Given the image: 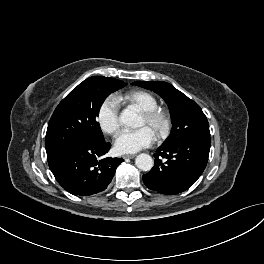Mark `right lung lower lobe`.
<instances>
[{
	"label": "right lung lower lobe",
	"instance_id": "98d812e1",
	"mask_svg": "<svg viewBox=\"0 0 264 264\" xmlns=\"http://www.w3.org/2000/svg\"><path fill=\"white\" fill-rule=\"evenodd\" d=\"M111 145L74 143L47 153L50 170L69 193L89 196L104 191L122 158L104 157Z\"/></svg>",
	"mask_w": 264,
	"mask_h": 264
}]
</instances>
